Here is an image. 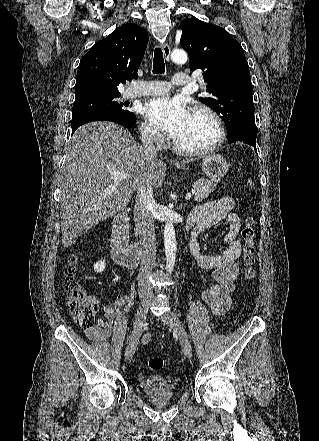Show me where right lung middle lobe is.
Returning <instances> with one entry per match:
<instances>
[{
  "instance_id": "obj_1",
  "label": "right lung middle lobe",
  "mask_w": 319,
  "mask_h": 441,
  "mask_svg": "<svg viewBox=\"0 0 319 441\" xmlns=\"http://www.w3.org/2000/svg\"><path fill=\"white\" fill-rule=\"evenodd\" d=\"M119 96H102L75 100L72 108V121L93 114H111L127 123L133 124L136 117L126 109L128 105L117 101Z\"/></svg>"
}]
</instances>
